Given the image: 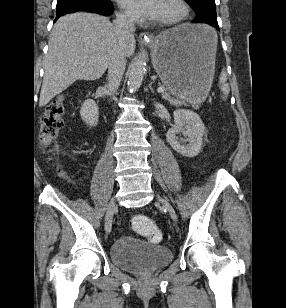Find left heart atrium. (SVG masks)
Masks as SVG:
<instances>
[{
    "label": "left heart atrium",
    "instance_id": "1",
    "mask_svg": "<svg viewBox=\"0 0 286 308\" xmlns=\"http://www.w3.org/2000/svg\"><path fill=\"white\" fill-rule=\"evenodd\" d=\"M162 0H119L123 9L136 19H158Z\"/></svg>",
    "mask_w": 286,
    "mask_h": 308
}]
</instances>
